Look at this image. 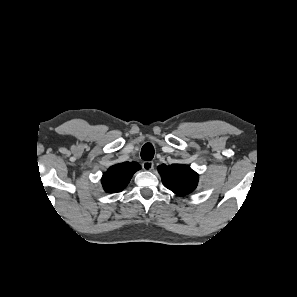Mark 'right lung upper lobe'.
I'll list each match as a JSON object with an SVG mask.
<instances>
[{"mask_svg":"<svg viewBox=\"0 0 297 297\" xmlns=\"http://www.w3.org/2000/svg\"><path fill=\"white\" fill-rule=\"evenodd\" d=\"M140 169L138 163H121L110 167L102 176V185L108 193L122 191L129 183L133 174Z\"/></svg>","mask_w":297,"mask_h":297,"instance_id":"cb5924a9","label":"right lung upper lobe"}]
</instances>
